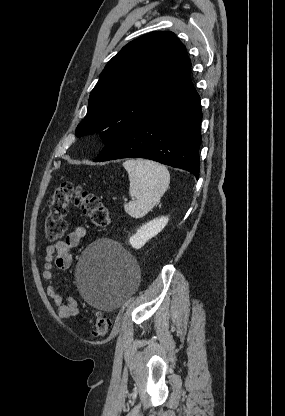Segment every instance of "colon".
Masks as SVG:
<instances>
[{"instance_id":"colon-1","label":"colon","mask_w":285,"mask_h":416,"mask_svg":"<svg viewBox=\"0 0 285 416\" xmlns=\"http://www.w3.org/2000/svg\"><path fill=\"white\" fill-rule=\"evenodd\" d=\"M72 201L80 206L94 226L104 228L110 223L109 211L99 197L75 187L70 182H65L53 191L48 202V213L44 224L45 238L48 241L55 242L64 235L67 228L65 217ZM110 326V316L99 312L92 324V335L95 338L103 337Z\"/></svg>"}]
</instances>
